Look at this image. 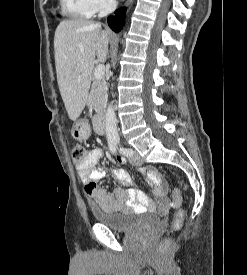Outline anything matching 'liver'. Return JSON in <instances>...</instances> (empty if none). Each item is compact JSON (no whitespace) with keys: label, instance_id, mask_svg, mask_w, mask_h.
Here are the masks:
<instances>
[{"label":"liver","instance_id":"6515ba94","mask_svg":"<svg viewBox=\"0 0 247 275\" xmlns=\"http://www.w3.org/2000/svg\"><path fill=\"white\" fill-rule=\"evenodd\" d=\"M110 33L100 24L82 19L60 22L54 50L57 82L69 118L75 121L85 108L95 57L107 59Z\"/></svg>","mask_w":247,"mask_h":275}]
</instances>
